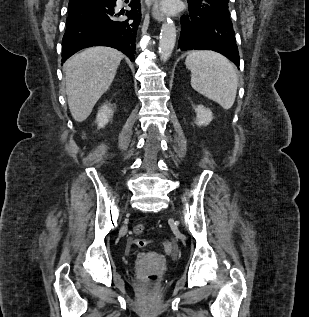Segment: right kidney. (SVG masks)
Here are the masks:
<instances>
[{
    "instance_id": "1",
    "label": "right kidney",
    "mask_w": 309,
    "mask_h": 317,
    "mask_svg": "<svg viewBox=\"0 0 309 317\" xmlns=\"http://www.w3.org/2000/svg\"><path fill=\"white\" fill-rule=\"evenodd\" d=\"M112 115H113V111L109 108V106L103 105L99 109L97 117H96V123L98 125V128L105 127L108 124Z\"/></svg>"
}]
</instances>
